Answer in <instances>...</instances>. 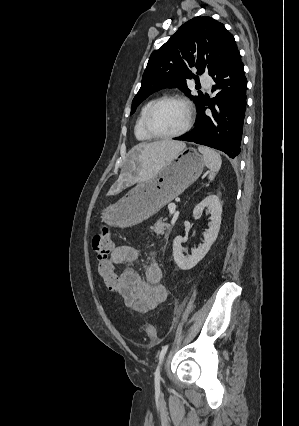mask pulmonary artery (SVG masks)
Masks as SVG:
<instances>
[{
	"label": "pulmonary artery",
	"mask_w": 299,
	"mask_h": 426,
	"mask_svg": "<svg viewBox=\"0 0 299 426\" xmlns=\"http://www.w3.org/2000/svg\"><path fill=\"white\" fill-rule=\"evenodd\" d=\"M201 82H202L203 86H204L207 90H209V89H210V86H211V78H210V77H208V76H203V77L201 78Z\"/></svg>",
	"instance_id": "e3ab8cb5"
}]
</instances>
